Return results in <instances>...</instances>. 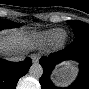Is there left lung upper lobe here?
<instances>
[{
    "instance_id": "obj_1",
    "label": "left lung upper lobe",
    "mask_w": 89,
    "mask_h": 89,
    "mask_svg": "<svg viewBox=\"0 0 89 89\" xmlns=\"http://www.w3.org/2000/svg\"><path fill=\"white\" fill-rule=\"evenodd\" d=\"M68 24L73 28L75 36H78L81 34L89 36V25L88 24L78 21V20L68 21Z\"/></svg>"
}]
</instances>
